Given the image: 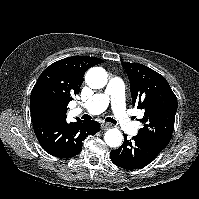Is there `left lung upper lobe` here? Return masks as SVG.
<instances>
[{"label": "left lung upper lobe", "instance_id": "1", "mask_svg": "<svg viewBox=\"0 0 199 199\" xmlns=\"http://www.w3.org/2000/svg\"><path fill=\"white\" fill-rule=\"evenodd\" d=\"M122 65L130 80L133 105L144 110V126L138 135L165 148L174 128L178 106L175 94L167 80L149 67L139 63Z\"/></svg>", "mask_w": 199, "mask_h": 199}]
</instances>
